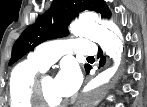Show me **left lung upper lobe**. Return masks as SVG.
Masks as SVG:
<instances>
[{"label":"left lung upper lobe","instance_id":"left-lung-upper-lobe-1","mask_svg":"<svg viewBox=\"0 0 147 107\" xmlns=\"http://www.w3.org/2000/svg\"><path fill=\"white\" fill-rule=\"evenodd\" d=\"M84 10L99 13L102 18L110 19L111 11L104 0H54L50 9L36 23L25 29L16 40L9 65H12L28 51L49 39L65 37L69 34L71 20ZM90 65L86 64L85 69Z\"/></svg>","mask_w":147,"mask_h":107}]
</instances>
